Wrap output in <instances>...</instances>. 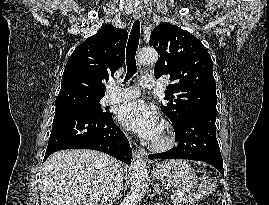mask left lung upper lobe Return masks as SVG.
I'll list each match as a JSON object with an SVG mask.
<instances>
[{
	"label": "left lung upper lobe",
	"instance_id": "left-lung-upper-lobe-1",
	"mask_svg": "<svg viewBox=\"0 0 269 205\" xmlns=\"http://www.w3.org/2000/svg\"><path fill=\"white\" fill-rule=\"evenodd\" d=\"M149 45L159 54L155 77L170 76L161 109L173 125L191 114L216 113L213 62L201 41L176 25L162 22L153 29Z\"/></svg>",
	"mask_w": 269,
	"mask_h": 205
}]
</instances>
